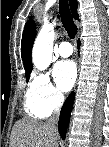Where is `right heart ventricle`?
<instances>
[{
	"label": "right heart ventricle",
	"instance_id": "1",
	"mask_svg": "<svg viewBox=\"0 0 109 147\" xmlns=\"http://www.w3.org/2000/svg\"><path fill=\"white\" fill-rule=\"evenodd\" d=\"M25 105H26L27 112L31 114L32 116L36 118H42L47 116L46 114L42 112V110L36 104L32 103L28 99L26 100Z\"/></svg>",
	"mask_w": 109,
	"mask_h": 147
}]
</instances>
